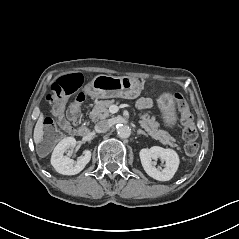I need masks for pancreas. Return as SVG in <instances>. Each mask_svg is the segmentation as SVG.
I'll return each instance as SVG.
<instances>
[{
	"label": "pancreas",
	"instance_id": "pancreas-1",
	"mask_svg": "<svg viewBox=\"0 0 239 239\" xmlns=\"http://www.w3.org/2000/svg\"><path fill=\"white\" fill-rule=\"evenodd\" d=\"M124 100H104L96 101L93 104L92 111L90 112V117L93 122L99 119H105L109 117V107L112 105H119ZM140 118V126L147 132V134L155 140H159L162 145H168L170 147H176V149L182 152V148L176 144V139L173 138L169 133L164 130H158V122L155 117L148 112L141 111L138 114Z\"/></svg>",
	"mask_w": 239,
	"mask_h": 239
}]
</instances>
